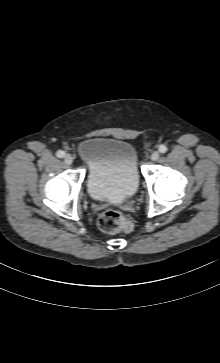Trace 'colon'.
Wrapping results in <instances>:
<instances>
[{
	"mask_svg": "<svg viewBox=\"0 0 220 363\" xmlns=\"http://www.w3.org/2000/svg\"><path fill=\"white\" fill-rule=\"evenodd\" d=\"M98 226L106 233L128 234L133 230L132 221L123 213L117 210H106L98 218Z\"/></svg>",
	"mask_w": 220,
	"mask_h": 363,
	"instance_id": "5ec220e1",
	"label": "colon"
}]
</instances>
